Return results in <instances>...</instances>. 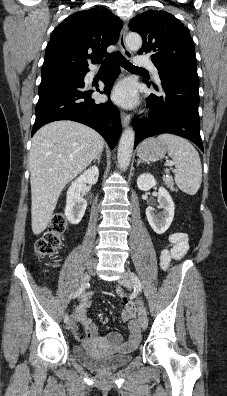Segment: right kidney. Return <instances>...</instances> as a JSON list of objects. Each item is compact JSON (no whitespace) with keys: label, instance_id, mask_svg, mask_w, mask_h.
I'll use <instances>...</instances> for the list:
<instances>
[{"label":"right kidney","instance_id":"ca27d5eb","mask_svg":"<svg viewBox=\"0 0 227 396\" xmlns=\"http://www.w3.org/2000/svg\"><path fill=\"white\" fill-rule=\"evenodd\" d=\"M99 176V170L92 166L71 183L67 191L65 216L71 224H78L84 216L87 202L80 195L85 183L96 184Z\"/></svg>","mask_w":227,"mask_h":396}]
</instances>
